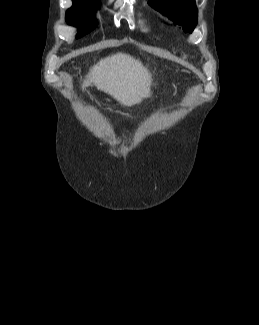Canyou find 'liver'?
<instances>
[{
    "mask_svg": "<svg viewBox=\"0 0 259 325\" xmlns=\"http://www.w3.org/2000/svg\"><path fill=\"white\" fill-rule=\"evenodd\" d=\"M92 83L125 106L138 104L151 94V74L139 59L124 53L108 56L94 65L82 89Z\"/></svg>",
    "mask_w": 259,
    "mask_h": 325,
    "instance_id": "liver-1",
    "label": "liver"
}]
</instances>
